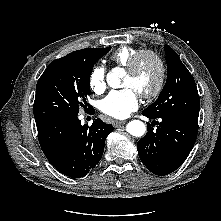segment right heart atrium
<instances>
[{"label":"right heart atrium","instance_id":"obj_1","mask_svg":"<svg viewBox=\"0 0 221 221\" xmlns=\"http://www.w3.org/2000/svg\"><path fill=\"white\" fill-rule=\"evenodd\" d=\"M90 89L99 94L106 88L105 69L102 66H95L89 75Z\"/></svg>","mask_w":221,"mask_h":221}]
</instances>
